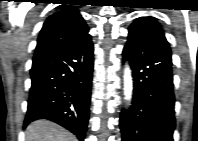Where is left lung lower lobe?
Wrapping results in <instances>:
<instances>
[{
	"label": "left lung lower lobe",
	"instance_id": "left-lung-lower-lobe-1",
	"mask_svg": "<svg viewBox=\"0 0 198 141\" xmlns=\"http://www.w3.org/2000/svg\"><path fill=\"white\" fill-rule=\"evenodd\" d=\"M123 54L134 89L132 106L120 118L122 141H173L175 96L168 42L129 35Z\"/></svg>",
	"mask_w": 198,
	"mask_h": 141
}]
</instances>
